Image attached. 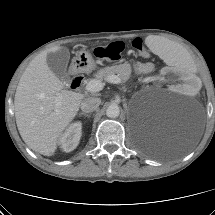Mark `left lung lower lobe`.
Returning <instances> with one entry per match:
<instances>
[{
	"label": "left lung lower lobe",
	"instance_id": "0a47b994",
	"mask_svg": "<svg viewBox=\"0 0 215 215\" xmlns=\"http://www.w3.org/2000/svg\"><path fill=\"white\" fill-rule=\"evenodd\" d=\"M178 152V150L176 149V148H167V149H165L162 153H161V155H163V156H171V155H173V154H176Z\"/></svg>",
	"mask_w": 215,
	"mask_h": 215
}]
</instances>
